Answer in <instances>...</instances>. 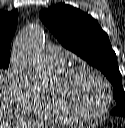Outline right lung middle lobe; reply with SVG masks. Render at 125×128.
Listing matches in <instances>:
<instances>
[{"instance_id":"1","label":"right lung middle lobe","mask_w":125,"mask_h":128,"mask_svg":"<svg viewBox=\"0 0 125 128\" xmlns=\"http://www.w3.org/2000/svg\"><path fill=\"white\" fill-rule=\"evenodd\" d=\"M9 66V61H0V69H6Z\"/></svg>"}]
</instances>
